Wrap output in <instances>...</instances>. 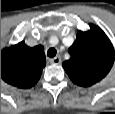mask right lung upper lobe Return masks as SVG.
<instances>
[{"instance_id": "cb5924a9", "label": "right lung upper lobe", "mask_w": 115, "mask_h": 114, "mask_svg": "<svg viewBox=\"0 0 115 114\" xmlns=\"http://www.w3.org/2000/svg\"><path fill=\"white\" fill-rule=\"evenodd\" d=\"M46 65L44 47H28L24 41L1 51V78L26 89L34 86Z\"/></svg>"}]
</instances>
